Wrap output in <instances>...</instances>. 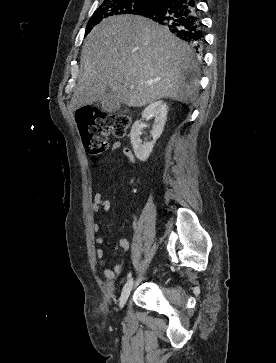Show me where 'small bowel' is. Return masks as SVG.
<instances>
[{
	"instance_id": "c3829d8e",
	"label": "small bowel",
	"mask_w": 276,
	"mask_h": 363,
	"mask_svg": "<svg viewBox=\"0 0 276 363\" xmlns=\"http://www.w3.org/2000/svg\"><path fill=\"white\" fill-rule=\"evenodd\" d=\"M115 150H121V152L123 153V155L129 160L130 163L135 164L136 159L132 153V151L128 148V147H122V144L120 141H115L111 147H110V151H115ZM110 209V202L106 199H104L103 194L101 191H97L94 195V199H93V203L90 206V210L92 214H96L100 211H108ZM132 220V224H131V228L134 231L136 228V217L135 215H132L131 217ZM91 228L92 231L94 233H98L100 231V226L98 223H96L93 219H92V224H91ZM105 242L104 238L102 236H97L95 238V243L99 246L103 245ZM129 241L126 238H122L120 239L117 244L115 245V249H122L124 251H127L129 249ZM96 257L99 261V264L101 266L102 269V273L104 275V277L106 278L108 283H112L116 276L118 274H121L124 272V267L122 264H116L113 269H111L105 259V252L104 250L99 247L96 250Z\"/></svg>"
}]
</instances>
